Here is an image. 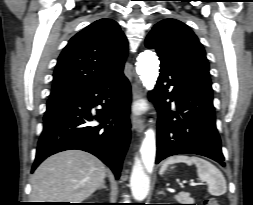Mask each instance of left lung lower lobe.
Wrapping results in <instances>:
<instances>
[{
  "label": "left lung lower lobe",
  "mask_w": 253,
  "mask_h": 205,
  "mask_svg": "<svg viewBox=\"0 0 253 205\" xmlns=\"http://www.w3.org/2000/svg\"><path fill=\"white\" fill-rule=\"evenodd\" d=\"M156 163L176 154H198L225 165L215 124L212 89L173 61L160 58ZM166 83V85H164ZM170 101H175L172 111Z\"/></svg>",
  "instance_id": "obj_1"
}]
</instances>
